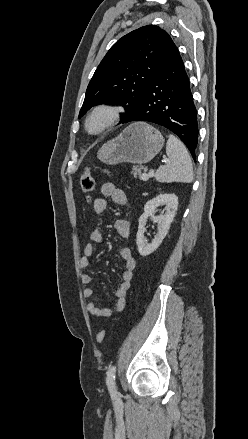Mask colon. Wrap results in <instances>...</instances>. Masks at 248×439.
I'll list each match as a JSON object with an SVG mask.
<instances>
[{
  "mask_svg": "<svg viewBox=\"0 0 248 439\" xmlns=\"http://www.w3.org/2000/svg\"><path fill=\"white\" fill-rule=\"evenodd\" d=\"M80 187L82 192L86 195L88 201L91 200V195L95 187V181L90 168H86L80 176ZM106 338V330L101 329L96 336L99 344H103Z\"/></svg>",
  "mask_w": 248,
  "mask_h": 439,
  "instance_id": "obj_1",
  "label": "colon"
}]
</instances>
